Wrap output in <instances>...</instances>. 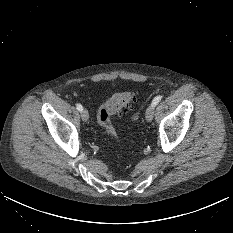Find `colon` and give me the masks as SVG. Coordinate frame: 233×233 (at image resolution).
I'll use <instances>...</instances> for the list:
<instances>
[{
	"label": "colon",
	"instance_id": "colon-1",
	"mask_svg": "<svg viewBox=\"0 0 233 233\" xmlns=\"http://www.w3.org/2000/svg\"><path fill=\"white\" fill-rule=\"evenodd\" d=\"M135 99L136 98L133 93L120 92L107 99L99 107L97 112L98 123L103 127L107 135L112 139H119V135L113 124L112 117L123 110L130 109L132 107V104L135 102ZM132 119L137 120L138 114L135 113L132 116Z\"/></svg>",
	"mask_w": 233,
	"mask_h": 233
}]
</instances>
